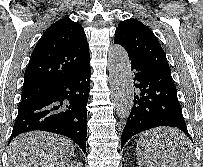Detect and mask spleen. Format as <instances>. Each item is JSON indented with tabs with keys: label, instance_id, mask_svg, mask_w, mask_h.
Returning a JSON list of instances; mask_svg holds the SVG:
<instances>
[{
	"label": "spleen",
	"instance_id": "spleen-1",
	"mask_svg": "<svg viewBox=\"0 0 203 167\" xmlns=\"http://www.w3.org/2000/svg\"><path fill=\"white\" fill-rule=\"evenodd\" d=\"M174 143L182 146H187V148H185L184 153L179 154L175 152L173 149H171V144L168 153V158L166 160H159L156 151L148 144H146V140L142 136L137 147L138 162L141 164L146 163L148 167H175L170 165L171 162H175L176 164L177 161H179L178 158H182L186 165L178 167H192L191 161L193 160V154L191 150H189L190 142L187 137L184 134H179L178 137L175 139ZM145 151L149 152V156L145 157Z\"/></svg>",
	"mask_w": 203,
	"mask_h": 167
}]
</instances>
